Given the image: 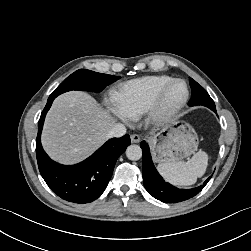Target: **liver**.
<instances>
[{
	"label": "liver",
	"mask_w": 251,
	"mask_h": 251,
	"mask_svg": "<svg viewBox=\"0 0 251 251\" xmlns=\"http://www.w3.org/2000/svg\"><path fill=\"white\" fill-rule=\"evenodd\" d=\"M114 124V117L89 94L67 92L54 100L46 116L42 144L52 159L77 163L105 142Z\"/></svg>",
	"instance_id": "6515ba94"
}]
</instances>
